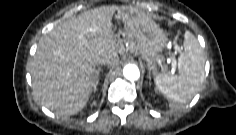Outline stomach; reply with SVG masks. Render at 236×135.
<instances>
[{
  "mask_svg": "<svg viewBox=\"0 0 236 135\" xmlns=\"http://www.w3.org/2000/svg\"><path fill=\"white\" fill-rule=\"evenodd\" d=\"M117 14L124 23H129L131 21V17L136 15L134 9L123 6L117 11ZM129 33H131L130 29L124 28L123 34ZM131 40L137 46V50L135 52L147 61L148 68L152 71L153 75L157 76L160 74L162 68L160 63V59L162 57L161 54L165 49L168 40L163 30L160 29L158 25L152 24L144 29L139 36L136 37L132 34ZM122 42H125L124 36Z\"/></svg>",
  "mask_w": 236,
  "mask_h": 135,
  "instance_id": "1",
  "label": "stomach"
}]
</instances>
